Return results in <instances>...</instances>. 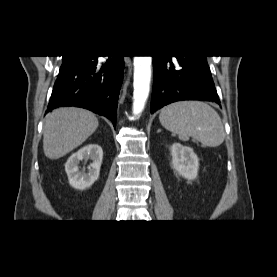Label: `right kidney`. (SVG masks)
I'll use <instances>...</instances> for the list:
<instances>
[{
	"instance_id": "ca27d5eb",
	"label": "right kidney",
	"mask_w": 277,
	"mask_h": 277,
	"mask_svg": "<svg viewBox=\"0 0 277 277\" xmlns=\"http://www.w3.org/2000/svg\"><path fill=\"white\" fill-rule=\"evenodd\" d=\"M92 160V163L85 169H79L82 160ZM103 159L102 148L98 144H89L73 153L65 164V171L70 185L78 190H84L92 186L99 178L100 167Z\"/></svg>"
}]
</instances>
